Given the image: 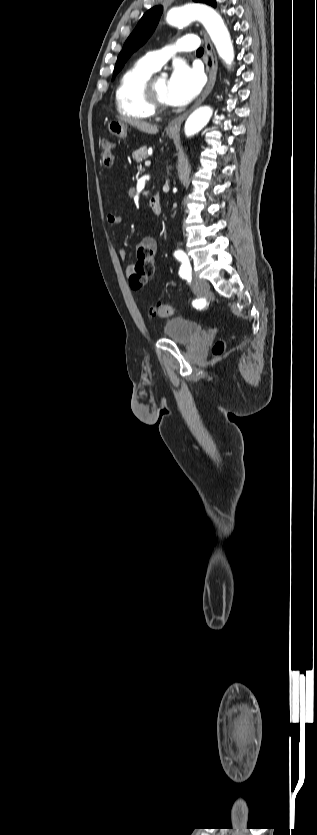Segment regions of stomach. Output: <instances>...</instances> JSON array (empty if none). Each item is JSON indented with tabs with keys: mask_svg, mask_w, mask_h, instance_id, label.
<instances>
[{
	"mask_svg": "<svg viewBox=\"0 0 317 835\" xmlns=\"http://www.w3.org/2000/svg\"><path fill=\"white\" fill-rule=\"evenodd\" d=\"M108 132L118 138H124L127 134L128 126L122 120H112L107 125ZM166 133L170 138H174L177 133L170 132L166 129Z\"/></svg>",
	"mask_w": 317,
	"mask_h": 835,
	"instance_id": "0dacf381",
	"label": "stomach"
}]
</instances>
